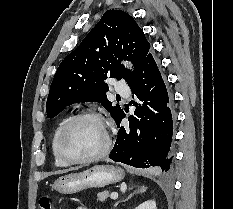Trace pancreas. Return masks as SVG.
Wrapping results in <instances>:
<instances>
[{
    "label": "pancreas",
    "instance_id": "obj_1",
    "mask_svg": "<svg viewBox=\"0 0 233 209\" xmlns=\"http://www.w3.org/2000/svg\"><path fill=\"white\" fill-rule=\"evenodd\" d=\"M108 196L109 194L107 192L99 193L97 200L103 202Z\"/></svg>",
    "mask_w": 233,
    "mask_h": 209
}]
</instances>
